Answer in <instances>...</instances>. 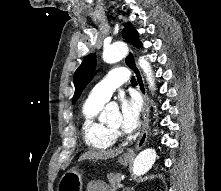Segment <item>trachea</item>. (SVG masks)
I'll use <instances>...</instances> for the list:
<instances>
[{
    "instance_id": "obj_1",
    "label": "trachea",
    "mask_w": 221,
    "mask_h": 191,
    "mask_svg": "<svg viewBox=\"0 0 221 191\" xmlns=\"http://www.w3.org/2000/svg\"><path fill=\"white\" fill-rule=\"evenodd\" d=\"M131 83H132V84H136V79H135L134 76L131 78Z\"/></svg>"
}]
</instances>
